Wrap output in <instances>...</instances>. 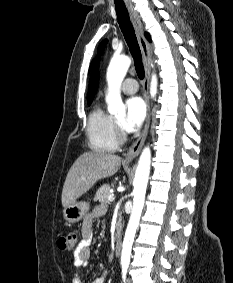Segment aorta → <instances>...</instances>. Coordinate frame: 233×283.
<instances>
[{
  "label": "aorta",
  "instance_id": "1",
  "mask_svg": "<svg viewBox=\"0 0 233 283\" xmlns=\"http://www.w3.org/2000/svg\"><path fill=\"white\" fill-rule=\"evenodd\" d=\"M131 59L128 56L113 57L107 69L108 93L106 102L108 111L114 115H125L126 108L122 102L120 87L122 81L130 67ZM157 93V77L152 75L150 83V95L152 98ZM151 150L149 146L145 147L140 155L133 190V208L130 215L129 223L125 232L122 245L121 264L128 265L130 262L131 248L134 241L135 233L139 224L142 209L145 201L146 188L150 174Z\"/></svg>",
  "mask_w": 233,
  "mask_h": 283
}]
</instances>
